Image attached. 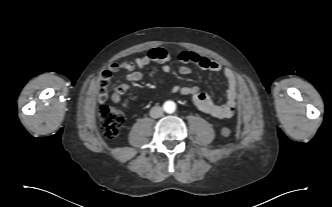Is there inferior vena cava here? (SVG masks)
Segmentation results:
<instances>
[{"mask_svg": "<svg viewBox=\"0 0 332 207\" xmlns=\"http://www.w3.org/2000/svg\"><path fill=\"white\" fill-rule=\"evenodd\" d=\"M163 115V109L160 106H154L150 110V116L152 118H159Z\"/></svg>", "mask_w": 332, "mask_h": 207, "instance_id": "602c4592", "label": "inferior vena cava"}]
</instances>
